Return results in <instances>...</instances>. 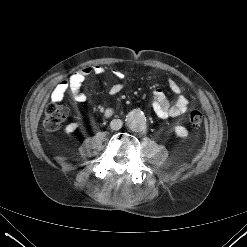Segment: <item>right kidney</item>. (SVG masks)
I'll use <instances>...</instances> for the list:
<instances>
[{
    "mask_svg": "<svg viewBox=\"0 0 247 247\" xmlns=\"http://www.w3.org/2000/svg\"><path fill=\"white\" fill-rule=\"evenodd\" d=\"M79 126L78 123H70L69 125L66 126L65 132L66 133H72L76 130V128Z\"/></svg>",
    "mask_w": 247,
    "mask_h": 247,
    "instance_id": "obj_1",
    "label": "right kidney"
}]
</instances>
